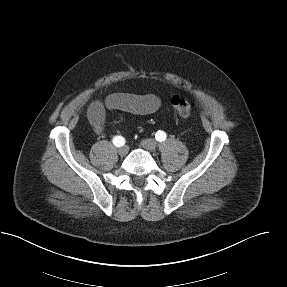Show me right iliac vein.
<instances>
[{
	"instance_id": "right-iliac-vein-1",
	"label": "right iliac vein",
	"mask_w": 287,
	"mask_h": 287,
	"mask_svg": "<svg viewBox=\"0 0 287 287\" xmlns=\"http://www.w3.org/2000/svg\"><path fill=\"white\" fill-rule=\"evenodd\" d=\"M129 148L127 146H122L118 149V153L120 156H124L128 153Z\"/></svg>"
}]
</instances>
